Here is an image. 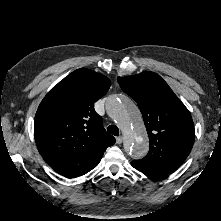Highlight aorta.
Masks as SVG:
<instances>
[{
  "instance_id": "762f6f07",
  "label": "aorta",
  "mask_w": 221,
  "mask_h": 221,
  "mask_svg": "<svg viewBox=\"0 0 221 221\" xmlns=\"http://www.w3.org/2000/svg\"><path fill=\"white\" fill-rule=\"evenodd\" d=\"M106 110L122 130L125 152L134 159L144 157L148 152L149 143L136 105L127 97L113 96L107 101Z\"/></svg>"
}]
</instances>
